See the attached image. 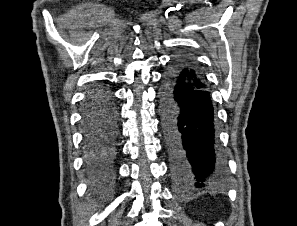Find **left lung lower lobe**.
Returning <instances> with one entry per match:
<instances>
[{
    "label": "left lung lower lobe",
    "instance_id": "obj_1",
    "mask_svg": "<svg viewBox=\"0 0 297 226\" xmlns=\"http://www.w3.org/2000/svg\"><path fill=\"white\" fill-rule=\"evenodd\" d=\"M180 60L165 72L160 115L172 174L181 185L204 187L223 177L214 110L205 86L196 87L179 74Z\"/></svg>",
    "mask_w": 297,
    "mask_h": 226
}]
</instances>
